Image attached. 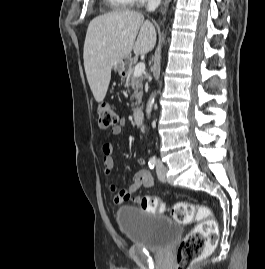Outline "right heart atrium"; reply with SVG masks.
<instances>
[{
	"mask_svg": "<svg viewBox=\"0 0 265 269\" xmlns=\"http://www.w3.org/2000/svg\"><path fill=\"white\" fill-rule=\"evenodd\" d=\"M146 1H152V0H133L135 3H144Z\"/></svg>",
	"mask_w": 265,
	"mask_h": 269,
	"instance_id": "d8ad5b80",
	"label": "right heart atrium"
}]
</instances>
